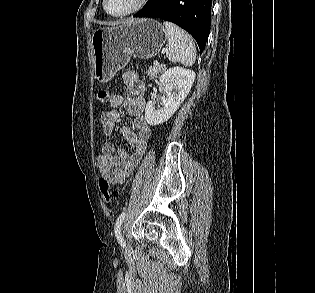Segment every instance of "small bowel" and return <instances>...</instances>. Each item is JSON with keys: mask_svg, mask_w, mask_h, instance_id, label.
Segmentation results:
<instances>
[{"mask_svg": "<svg viewBox=\"0 0 315 293\" xmlns=\"http://www.w3.org/2000/svg\"><path fill=\"white\" fill-rule=\"evenodd\" d=\"M123 82L128 87L129 95L111 94L108 99L111 109L101 114L100 122L104 134L111 136L115 125L122 121L119 109L123 107L133 116V128L122 126L120 133L133 147V151L128 153L124 149H117L112 142L107 141L102 145L101 153L96 157V166L101 172V178L108 180L113 185L124 182L141 159L151 136L150 126L144 116L145 84L134 71L125 72Z\"/></svg>", "mask_w": 315, "mask_h": 293, "instance_id": "small-bowel-1", "label": "small bowel"}]
</instances>
